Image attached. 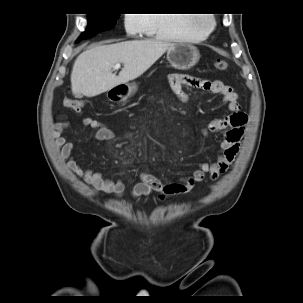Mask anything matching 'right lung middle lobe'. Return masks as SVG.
<instances>
[{"label": "right lung middle lobe", "mask_w": 303, "mask_h": 303, "mask_svg": "<svg viewBox=\"0 0 303 303\" xmlns=\"http://www.w3.org/2000/svg\"><path fill=\"white\" fill-rule=\"evenodd\" d=\"M119 16L120 15L118 13L89 14L87 28L78 38L76 43L83 39L91 38L99 32L112 29L116 25V21Z\"/></svg>", "instance_id": "1"}]
</instances>
